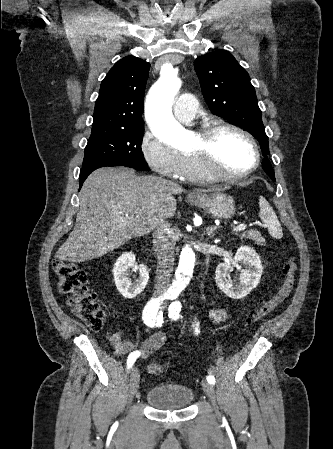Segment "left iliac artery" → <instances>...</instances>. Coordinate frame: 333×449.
Wrapping results in <instances>:
<instances>
[{
    "label": "left iliac artery",
    "mask_w": 333,
    "mask_h": 449,
    "mask_svg": "<svg viewBox=\"0 0 333 449\" xmlns=\"http://www.w3.org/2000/svg\"><path fill=\"white\" fill-rule=\"evenodd\" d=\"M180 311H181V304H180V302L179 301L172 302L171 305L169 306V309H168L169 317L174 319V320H177L179 318ZM196 325H197V327L195 329V332H196V334H198L199 333V328H198V324H196ZM207 381L210 384H215V377L213 375H208L207 376Z\"/></svg>",
    "instance_id": "44dca946"
}]
</instances>
